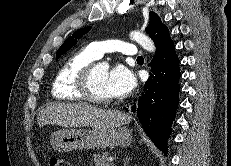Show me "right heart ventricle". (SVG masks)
<instances>
[{"mask_svg": "<svg viewBox=\"0 0 231 166\" xmlns=\"http://www.w3.org/2000/svg\"><path fill=\"white\" fill-rule=\"evenodd\" d=\"M89 47H85L70 55L60 66L52 83V95L57 100H83L78 90L77 80L81 70L97 60Z\"/></svg>", "mask_w": 231, "mask_h": 166, "instance_id": "1", "label": "right heart ventricle"}]
</instances>
